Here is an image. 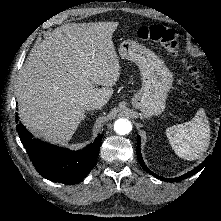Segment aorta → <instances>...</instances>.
Segmentation results:
<instances>
[{"mask_svg":"<svg viewBox=\"0 0 221 221\" xmlns=\"http://www.w3.org/2000/svg\"><path fill=\"white\" fill-rule=\"evenodd\" d=\"M114 130L119 135L129 134L132 130V124L128 119H118L114 123Z\"/></svg>","mask_w":221,"mask_h":221,"instance_id":"762f6f07","label":"aorta"}]
</instances>
